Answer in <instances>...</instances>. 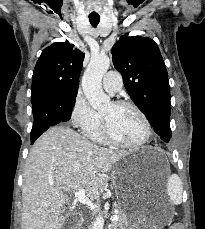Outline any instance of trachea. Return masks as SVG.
<instances>
[{"instance_id": "1", "label": "trachea", "mask_w": 205, "mask_h": 229, "mask_svg": "<svg viewBox=\"0 0 205 229\" xmlns=\"http://www.w3.org/2000/svg\"><path fill=\"white\" fill-rule=\"evenodd\" d=\"M90 23L93 27H96L100 21L99 15H89Z\"/></svg>"}]
</instances>
